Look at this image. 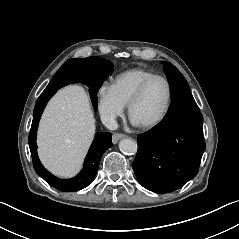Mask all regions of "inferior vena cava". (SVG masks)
I'll list each match as a JSON object with an SVG mask.
<instances>
[{
	"mask_svg": "<svg viewBox=\"0 0 239 239\" xmlns=\"http://www.w3.org/2000/svg\"><path fill=\"white\" fill-rule=\"evenodd\" d=\"M102 123L109 129V130H116L118 128V123L114 116H102L101 117Z\"/></svg>",
	"mask_w": 239,
	"mask_h": 239,
	"instance_id": "602c4592",
	"label": "inferior vena cava"
}]
</instances>
